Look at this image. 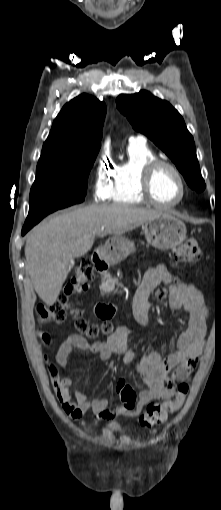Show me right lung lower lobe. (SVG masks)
<instances>
[{
  "instance_id": "1",
  "label": "right lung lower lobe",
  "mask_w": 221,
  "mask_h": 510,
  "mask_svg": "<svg viewBox=\"0 0 221 510\" xmlns=\"http://www.w3.org/2000/svg\"><path fill=\"white\" fill-rule=\"evenodd\" d=\"M54 211L56 210L41 208L37 206L29 207V214L22 228V235H25L42 218Z\"/></svg>"
}]
</instances>
